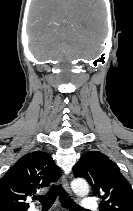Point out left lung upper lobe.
Listing matches in <instances>:
<instances>
[{
  "instance_id": "5c2ea615",
  "label": "left lung upper lobe",
  "mask_w": 133,
  "mask_h": 211,
  "mask_svg": "<svg viewBox=\"0 0 133 211\" xmlns=\"http://www.w3.org/2000/svg\"><path fill=\"white\" fill-rule=\"evenodd\" d=\"M75 177L85 178L100 198V211H133V191L118 166L100 151L82 155L73 168Z\"/></svg>"
}]
</instances>
